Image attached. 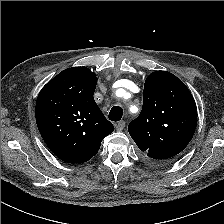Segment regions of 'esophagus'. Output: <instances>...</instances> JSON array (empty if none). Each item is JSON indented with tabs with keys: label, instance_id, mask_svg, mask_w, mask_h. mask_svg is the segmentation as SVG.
Listing matches in <instances>:
<instances>
[{
	"label": "esophagus",
	"instance_id": "1",
	"mask_svg": "<svg viewBox=\"0 0 224 224\" xmlns=\"http://www.w3.org/2000/svg\"><path fill=\"white\" fill-rule=\"evenodd\" d=\"M115 128L117 131H122L125 128V121H119L116 125Z\"/></svg>",
	"mask_w": 224,
	"mask_h": 224
}]
</instances>
